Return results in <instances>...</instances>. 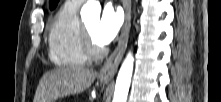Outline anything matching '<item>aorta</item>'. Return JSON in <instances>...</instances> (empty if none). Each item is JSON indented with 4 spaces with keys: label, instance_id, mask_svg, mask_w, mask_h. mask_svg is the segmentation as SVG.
<instances>
[{
    "label": "aorta",
    "instance_id": "obj_1",
    "mask_svg": "<svg viewBox=\"0 0 221 102\" xmlns=\"http://www.w3.org/2000/svg\"><path fill=\"white\" fill-rule=\"evenodd\" d=\"M100 11L101 6L98 0H87L82 7L80 14L82 19H88L91 17H98ZM133 66L134 58L132 53L129 52L123 61L117 76L113 102H126L133 73Z\"/></svg>",
    "mask_w": 221,
    "mask_h": 102
}]
</instances>
